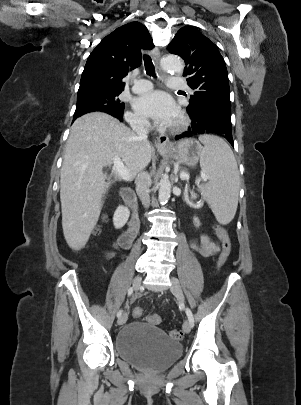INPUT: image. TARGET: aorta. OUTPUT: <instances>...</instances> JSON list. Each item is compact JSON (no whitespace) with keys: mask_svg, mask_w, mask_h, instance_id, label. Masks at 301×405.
<instances>
[{"mask_svg":"<svg viewBox=\"0 0 301 405\" xmlns=\"http://www.w3.org/2000/svg\"><path fill=\"white\" fill-rule=\"evenodd\" d=\"M163 70L181 74L184 69L183 62L175 55H169L162 59ZM171 195V182L167 175H164L159 182L158 200L161 204L167 203Z\"/></svg>","mask_w":301,"mask_h":405,"instance_id":"762f6f07","label":"aorta"}]
</instances>
